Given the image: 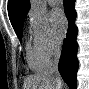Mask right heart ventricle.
<instances>
[{"label":"right heart ventricle","instance_id":"e07e8e85","mask_svg":"<svg viewBox=\"0 0 89 89\" xmlns=\"http://www.w3.org/2000/svg\"><path fill=\"white\" fill-rule=\"evenodd\" d=\"M27 61L29 67L34 71H44L49 67V62L40 56L32 43L27 44Z\"/></svg>","mask_w":89,"mask_h":89}]
</instances>
